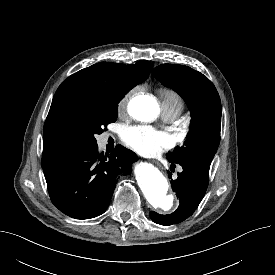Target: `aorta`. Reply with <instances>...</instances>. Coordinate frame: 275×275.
<instances>
[{
    "instance_id": "1",
    "label": "aorta",
    "mask_w": 275,
    "mask_h": 275,
    "mask_svg": "<svg viewBox=\"0 0 275 275\" xmlns=\"http://www.w3.org/2000/svg\"><path fill=\"white\" fill-rule=\"evenodd\" d=\"M129 114L141 122L154 120L159 113L156 99L150 95H137L128 104ZM135 176L146 200L154 208L170 210L174 197L168 194L169 185L164 175L152 164L140 163L135 168Z\"/></svg>"
}]
</instances>
